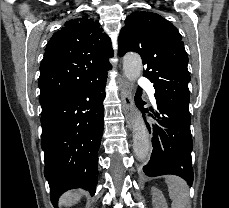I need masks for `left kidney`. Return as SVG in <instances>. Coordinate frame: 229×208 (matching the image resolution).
Masks as SVG:
<instances>
[{"label": "left kidney", "mask_w": 229, "mask_h": 208, "mask_svg": "<svg viewBox=\"0 0 229 208\" xmlns=\"http://www.w3.org/2000/svg\"><path fill=\"white\" fill-rule=\"evenodd\" d=\"M151 194L154 208H168L166 200L158 188H151Z\"/></svg>", "instance_id": "left-kidney-1"}]
</instances>
